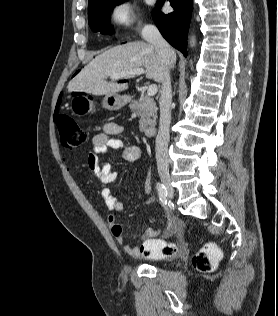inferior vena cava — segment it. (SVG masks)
<instances>
[{
	"instance_id": "inferior-vena-cava-1",
	"label": "inferior vena cava",
	"mask_w": 278,
	"mask_h": 316,
	"mask_svg": "<svg viewBox=\"0 0 278 316\" xmlns=\"http://www.w3.org/2000/svg\"><path fill=\"white\" fill-rule=\"evenodd\" d=\"M142 37L148 43L155 46L165 64V75L162 81V90L159 99L160 121L158 135L156 137V160L158 172L167 173L169 171L168 143L170 138L169 129L171 122L170 105L172 100L170 80L172 49L154 25H145L142 30Z\"/></svg>"
}]
</instances>
